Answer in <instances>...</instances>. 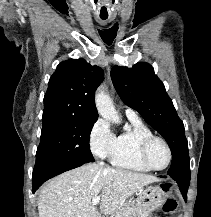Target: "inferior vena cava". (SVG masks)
<instances>
[{
  "label": "inferior vena cava",
  "instance_id": "obj_1",
  "mask_svg": "<svg viewBox=\"0 0 211 217\" xmlns=\"http://www.w3.org/2000/svg\"><path fill=\"white\" fill-rule=\"evenodd\" d=\"M103 164H104L103 162L100 163V165H103Z\"/></svg>",
  "mask_w": 211,
  "mask_h": 217
}]
</instances>
